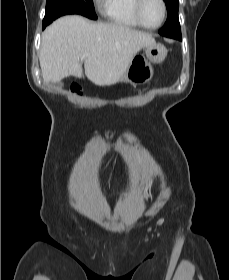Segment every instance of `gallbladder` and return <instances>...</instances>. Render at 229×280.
Returning a JSON list of instances; mask_svg holds the SVG:
<instances>
[{
    "mask_svg": "<svg viewBox=\"0 0 229 280\" xmlns=\"http://www.w3.org/2000/svg\"><path fill=\"white\" fill-rule=\"evenodd\" d=\"M52 85H54V86H58V87H62V86H63V83L58 82V83H54V84H52Z\"/></svg>",
    "mask_w": 229,
    "mask_h": 280,
    "instance_id": "gallbladder-1",
    "label": "gallbladder"
}]
</instances>
